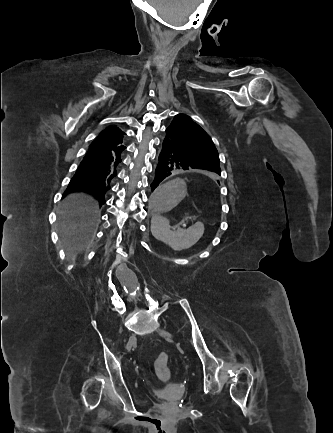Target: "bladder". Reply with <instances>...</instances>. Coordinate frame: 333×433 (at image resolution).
<instances>
[{"label":"bladder","mask_w":333,"mask_h":433,"mask_svg":"<svg viewBox=\"0 0 333 433\" xmlns=\"http://www.w3.org/2000/svg\"><path fill=\"white\" fill-rule=\"evenodd\" d=\"M169 399H170V400H173V399H174V397H170Z\"/></svg>","instance_id":"bladder-1"}]
</instances>
